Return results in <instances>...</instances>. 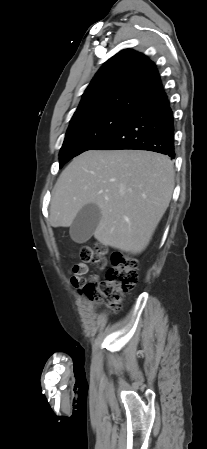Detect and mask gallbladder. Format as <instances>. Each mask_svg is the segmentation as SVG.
Instances as JSON below:
<instances>
[{
	"label": "gallbladder",
	"mask_w": 207,
	"mask_h": 449,
	"mask_svg": "<svg viewBox=\"0 0 207 449\" xmlns=\"http://www.w3.org/2000/svg\"><path fill=\"white\" fill-rule=\"evenodd\" d=\"M101 219V210L95 204L83 206L70 226V236L77 243H85L93 235Z\"/></svg>",
	"instance_id": "obj_1"
}]
</instances>
